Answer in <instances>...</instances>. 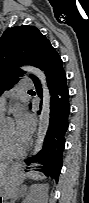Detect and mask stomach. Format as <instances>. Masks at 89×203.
Instances as JSON below:
<instances>
[{
	"instance_id": "1",
	"label": "stomach",
	"mask_w": 89,
	"mask_h": 203,
	"mask_svg": "<svg viewBox=\"0 0 89 203\" xmlns=\"http://www.w3.org/2000/svg\"><path fill=\"white\" fill-rule=\"evenodd\" d=\"M18 172L16 165H10L2 177L1 184L4 198H11L18 194V186L20 183Z\"/></svg>"
}]
</instances>
